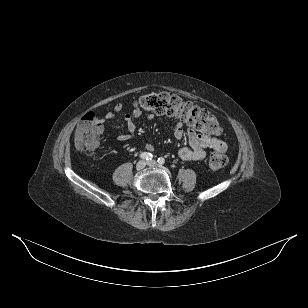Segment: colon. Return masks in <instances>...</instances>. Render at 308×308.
I'll list each match as a JSON object with an SVG mask.
<instances>
[{
  "label": "colon",
  "instance_id": "obj_1",
  "mask_svg": "<svg viewBox=\"0 0 308 308\" xmlns=\"http://www.w3.org/2000/svg\"><path fill=\"white\" fill-rule=\"evenodd\" d=\"M139 109L156 115L174 117L202 133L215 136L222 131L218 120L206 109L184 101L169 93H150L138 99L135 104ZM103 131L100 118L94 112H87L75 130V144L86 153H94L100 145L99 135ZM227 162L224 153L215 151L210 155L209 167L213 171L221 170Z\"/></svg>",
  "mask_w": 308,
  "mask_h": 308
}]
</instances>
